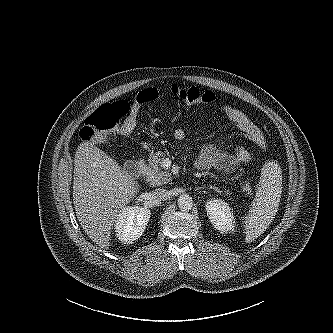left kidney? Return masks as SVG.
Segmentation results:
<instances>
[{"instance_id": "5707ae66", "label": "left kidney", "mask_w": 333, "mask_h": 333, "mask_svg": "<svg viewBox=\"0 0 333 333\" xmlns=\"http://www.w3.org/2000/svg\"><path fill=\"white\" fill-rule=\"evenodd\" d=\"M207 216L216 230L230 233L235 229L234 215L229 204L222 199H211L205 204Z\"/></svg>"}]
</instances>
